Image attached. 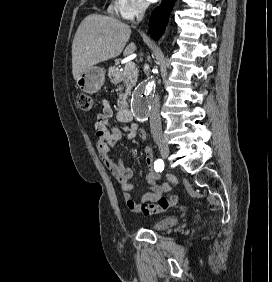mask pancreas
<instances>
[{
  "mask_svg": "<svg viewBox=\"0 0 272 282\" xmlns=\"http://www.w3.org/2000/svg\"><path fill=\"white\" fill-rule=\"evenodd\" d=\"M108 75L111 79V82L114 85L120 84L119 90L124 93L119 94L118 106H123L127 103L128 96L131 93L132 88L135 86L137 81L138 72L137 70H120L118 66H111L108 69Z\"/></svg>",
  "mask_w": 272,
  "mask_h": 282,
  "instance_id": "cf45deb5",
  "label": "pancreas"
}]
</instances>
